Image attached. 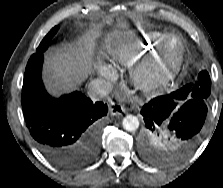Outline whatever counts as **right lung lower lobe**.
Segmentation results:
<instances>
[{
	"label": "right lung lower lobe",
	"mask_w": 223,
	"mask_h": 188,
	"mask_svg": "<svg viewBox=\"0 0 223 188\" xmlns=\"http://www.w3.org/2000/svg\"><path fill=\"white\" fill-rule=\"evenodd\" d=\"M43 53L26 66L21 103L26 125L40 152L55 166L71 170L89 163L100 146L98 119L108 107L75 91L56 99L43 85Z\"/></svg>",
	"instance_id": "right-lung-lower-lobe-1"
}]
</instances>
